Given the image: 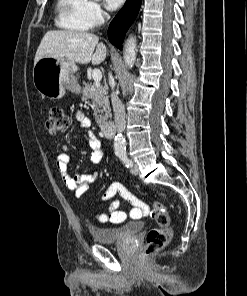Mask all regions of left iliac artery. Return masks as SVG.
<instances>
[{"label": "left iliac artery", "instance_id": "1", "mask_svg": "<svg viewBox=\"0 0 247 296\" xmlns=\"http://www.w3.org/2000/svg\"><path fill=\"white\" fill-rule=\"evenodd\" d=\"M117 155H118V157L120 158V160L123 162V164H124L127 168L132 167L133 163H132V161L128 158L126 152L122 151V152H119Z\"/></svg>", "mask_w": 247, "mask_h": 296}]
</instances>
